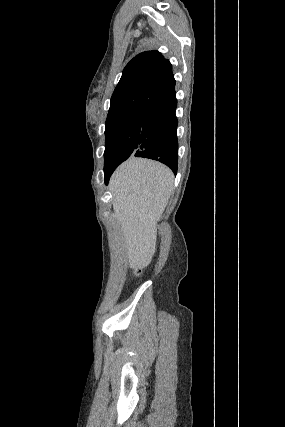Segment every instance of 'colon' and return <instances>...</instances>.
Returning <instances> with one entry per match:
<instances>
[{"instance_id":"colon-1","label":"colon","mask_w":285,"mask_h":427,"mask_svg":"<svg viewBox=\"0 0 285 427\" xmlns=\"http://www.w3.org/2000/svg\"><path fill=\"white\" fill-rule=\"evenodd\" d=\"M142 266H143L142 264H137L134 267V272H135L136 275H138L141 272Z\"/></svg>"}]
</instances>
